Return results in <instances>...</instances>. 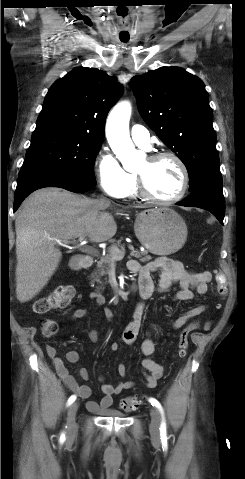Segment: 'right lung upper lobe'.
<instances>
[{
  "label": "right lung upper lobe",
  "instance_id": "cb5924a9",
  "mask_svg": "<svg viewBox=\"0 0 245 479\" xmlns=\"http://www.w3.org/2000/svg\"><path fill=\"white\" fill-rule=\"evenodd\" d=\"M121 89L104 71L78 67L51 86L36 129L63 128L103 141L107 114Z\"/></svg>",
  "mask_w": 245,
  "mask_h": 479
}]
</instances>
